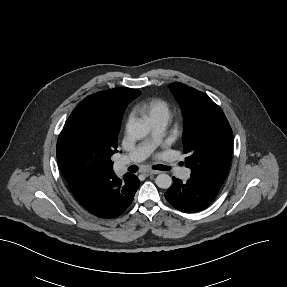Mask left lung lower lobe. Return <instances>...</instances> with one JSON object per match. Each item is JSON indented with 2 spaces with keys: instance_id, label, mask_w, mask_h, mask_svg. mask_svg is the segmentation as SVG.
I'll list each match as a JSON object with an SVG mask.
<instances>
[{
  "instance_id": "1",
  "label": "left lung lower lobe",
  "mask_w": 287,
  "mask_h": 287,
  "mask_svg": "<svg viewBox=\"0 0 287 287\" xmlns=\"http://www.w3.org/2000/svg\"><path fill=\"white\" fill-rule=\"evenodd\" d=\"M173 184L165 193L167 201L176 209L194 213L205 209L217 196L220 188L197 176L186 182L173 177Z\"/></svg>"
}]
</instances>
